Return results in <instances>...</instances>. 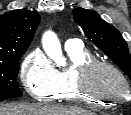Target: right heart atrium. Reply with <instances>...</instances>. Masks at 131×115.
Segmentation results:
<instances>
[{
  "label": "right heart atrium",
  "instance_id": "1",
  "mask_svg": "<svg viewBox=\"0 0 131 115\" xmlns=\"http://www.w3.org/2000/svg\"><path fill=\"white\" fill-rule=\"evenodd\" d=\"M20 78L27 93L38 101L51 100L59 89L58 72L39 48L23 58Z\"/></svg>",
  "mask_w": 131,
  "mask_h": 115
}]
</instances>
